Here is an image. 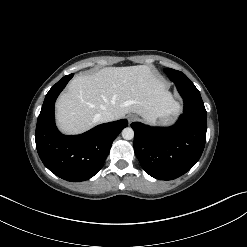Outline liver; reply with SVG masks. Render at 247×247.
Here are the masks:
<instances>
[{"instance_id":"liver-1","label":"liver","mask_w":247,"mask_h":247,"mask_svg":"<svg viewBox=\"0 0 247 247\" xmlns=\"http://www.w3.org/2000/svg\"><path fill=\"white\" fill-rule=\"evenodd\" d=\"M180 108L165 83L146 65L107 67L73 78L56 103L60 130L78 134L97 124L96 116L110 112L115 120L136 113L147 122Z\"/></svg>"}]
</instances>
